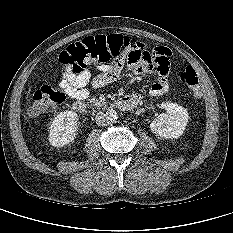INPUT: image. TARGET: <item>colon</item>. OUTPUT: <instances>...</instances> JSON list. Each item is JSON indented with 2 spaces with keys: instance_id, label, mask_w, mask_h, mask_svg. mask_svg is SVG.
Returning <instances> with one entry per match:
<instances>
[{
  "instance_id": "colon-1",
  "label": "colon",
  "mask_w": 233,
  "mask_h": 233,
  "mask_svg": "<svg viewBox=\"0 0 233 233\" xmlns=\"http://www.w3.org/2000/svg\"><path fill=\"white\" fill-rule=\"evenodd\" d=\"M138 43L132 38L122 35L88 37L80 42L69 45L59 56L64 73L78 74L90 64L113 63L115 60L124 62L125 54ZM180 81L186 85L195 97L202 94L199 77L192 67H186L180 74ZM66 99L62 87L43 86L36 90L28 109L31 116H37L46 110L63 103Z\"/></svg>"
}]
</instances>
